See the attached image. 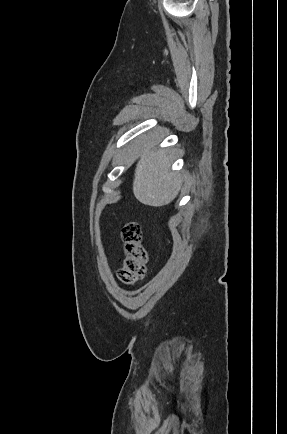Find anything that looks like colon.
I'll return each instance as SVG.
<instances>
[{"label": "colon", "mask_w": 287, "mask_h": 434, "mask_svg": "<svg viewBox=\"0 0 287 434\" xmlns=\"http://www.w3.org/2000/svg\"><path fill=\"white\" fill-rule=\"evenodd\" d=\"M121 237L123 260L118 276L122 283L130 285L145 276L149 256L141 226L137 222L126 223L122 228Z\"/></svg>", "instance_id": "colon-1"}]
</instances>
